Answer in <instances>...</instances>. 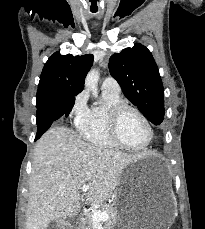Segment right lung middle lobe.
Segmentation results:
<instances>
[{"instance_id":"right-lung-middle-lobe-1","label":"right lung middle lobe","mask_w":205,"mask_h":229,"mask_svg":"<svg viewBox=\"0 0 205 229\" xmlns=\"http://www.w3.org/2000/svg\"><path fill=\"white\" fill-rule=\"evenodd\" d=\"M68 100L71 101V102H74L75 101V97H73V96L72 97H69ZM53 102L54 101L53 100H50V99L42 100V101H37L36 107H37V109H39V108H42V107H44L46 105H49V104H51Z\"/></svg>"}]
</instances>
